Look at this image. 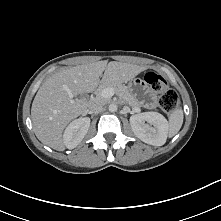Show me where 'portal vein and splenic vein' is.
I'll return each mask as SVG.
<instances>
[{
    "mask_svg": "<svg viewBox=\"0 0 221 221\" xmlns=\"http://www.w3.org/2000/svg\"><path fill=\"white\" fill-rule=\"evenodd\" d=\"M114 95V90L112 88H106L102 92V96L105 98H110Z\"/></svg>",
    "mask_w": 221,
    "mask_h": 221,
    "instance_id": "1",
    "label": "portal vein and splenic vein"
}]
</instances>
